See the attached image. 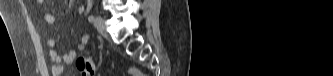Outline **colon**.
Wrapping results in <instances>:
<instances>
[{"label":"colon","mask_w":333,"mask_h":76,"mask_svg":"<svg viewBox=\"0 0 333 76\" xmlns=\"http://www.w3.org/2000/svg\"><path fill=\"white\" fill-rule=\"evenodd\" d=\"M77 68L83 76H92L95 74V63L94 60L90 57L81 56L77 59L76 62ZM130 76H141L139 70L134 67L129 69Z\"/></svg>","instance_id":"5ec220e1"}]
</instances>
